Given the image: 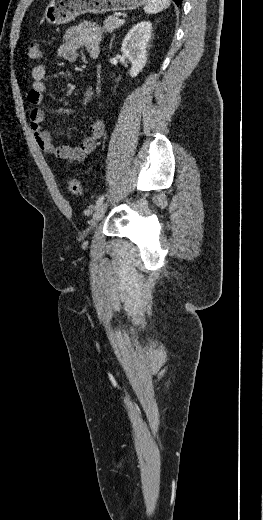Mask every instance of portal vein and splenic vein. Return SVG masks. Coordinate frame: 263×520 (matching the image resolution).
<instances>
[{
    "label": "portal vein and splenic vein",
    "mask_w": 263,
    "mask_h": 520,
    "mask_svg": "<svg viewBox=\"0 0 263 520\" xmlns=\"http://www.w3.org/2000/svg\"><path fill=\"white\" fill-rule=\"evenodd\" d=\"M124 22H125L124 19H118V21H117V23H119V24H123Z\"/></svg>",
    "instance_id": "18ae733b"
}]
</instances>
